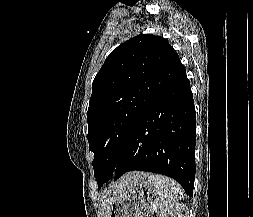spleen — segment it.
Wrapping results in <instances>:
<instances>
[{"label": "spleen", "instance_id": "1", "mask_svg": "<svg viewBox=\"0 0 253 217\" xmlns=\"http://www.w3.org/2000/svg\"><path fill=\"white\" fill-rule=\"evenodd\" d=\"M148 182L156 188V194L159 196L156 200V205L161 209L169 207L182 196L181 186L171 178L159 174H151L148 177Z\"/></svg>", "mask_w": 253, "mask_h": 217}]
</instances>
